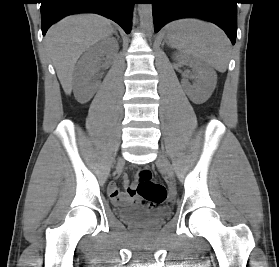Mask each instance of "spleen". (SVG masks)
I'll use <instances>...</instances> for the list:
<instances>
[{
    "label": "spleen",
    "instance_id": "spleen-1",
    "mask_svg": "<svg viewBox=\"0 0 279 267\" xmlns=\"http://www.w3.org/2000/svg\"><path fill=\"white\" fill-rule=\"evenodd\" d=\"M167 38L171 47L220 72L226 71L230 42L216 25L198 19H181L169 25Z\"/></svg>",
    "mask_w": 279,
    "mask_h": 267
}]
</instances>
